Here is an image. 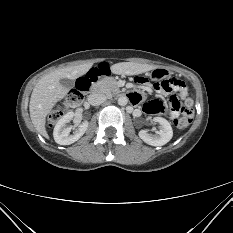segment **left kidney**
<instances>
[{"label":"left kidney","mask_w":233,"mask_h":233,"mask_svg":"<svg viewBox=\"0 0 233 233\" xmlns=\"http://www.w3.org/2000/svg\"><path fill=\"white\" fill-rule=\"evenodd\" d=\"M153 121L159 123V129L155 135H151L147 130H141L139 137L151 146H163L173 137V130L170 123L162 117H154Z\"/></svg>","instance_id":"5707ae66"}]
</instances>
